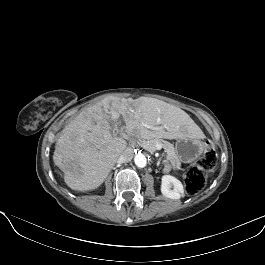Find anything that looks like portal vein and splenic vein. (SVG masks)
Returning <instances> with one entry per match:
<instances>
[{"mask_svg": "<svg viewBox=\"0 0 265 265\" xmlns=\"http://www.w3.org/2000/svg\"><path fill=\"white\" fill-rule=\"evenodd\" d=\"M158 149H161V145H158Z\"/></svg>", "mask_w": 265, "mask_h": 265, "instance_id": "1", "label": "portal vein and splenic vein"}]
</instances>
